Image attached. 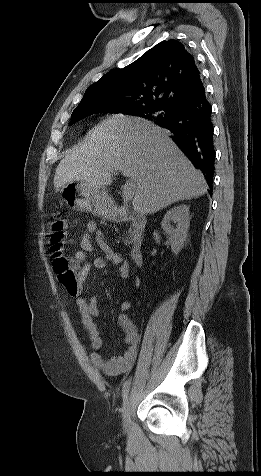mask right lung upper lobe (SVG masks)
<instances>
[{
	"label": "right lung upper lobe",
	"instance_id": "1",
	"mask_svg": "<svg viewBox=\"0 0 261 476\" xmlns=\"http://www.w3.org/2000/svg\"><path fill=\"white\" fill-rule=\"evenodd\" d=\"M203 89L193 55L171 39L158 43L128 66L106 73L87 88L77 107L107 104L128 109L147 105L176 108L195 99Z\"/></svg>",
	"mask_w": 261,
	"mask_h": 476
}]
</instances>
